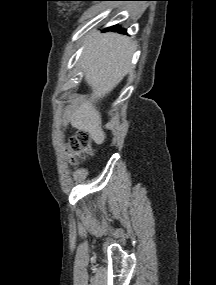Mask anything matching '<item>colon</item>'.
<instances>
[{
  "label": "colon",
  "mask_w": 216,
  "mask_h": 285,
  "mask_svg": "<svg viewBox=\"0 0 216 285\" xmlns=\"http://www.w3.org/2000/svg\"><path fill=\"white\" fill-rule=\"evenodd\" d=\"M71 161L73 163L84 159L92 154L89 135L85 132H80L71 139Z\"/></svg>",
  "instance_id": "1"
}]
</instances>
